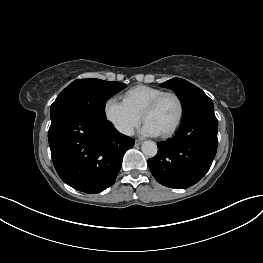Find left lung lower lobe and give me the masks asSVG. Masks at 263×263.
<instances>
[{"label":"left lung lower lobe","instance_id":"obj_1","mask_svg":"<svg viewBox=\"0 0 263 263\" xmlns=\"http://www.w3.org/2000/svg\"><path fill=\"white\" fill-rule=\"evenodd\" d=\"M218 121L214 111L182 122L177 134L158 143V153L147 161L162 185L184 189L196 184L209 170L217 151Z\"/></svg>","mask_w":263,"mask_h":263}]
</instances>
